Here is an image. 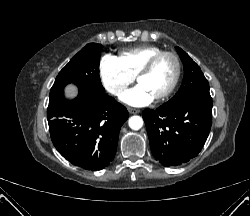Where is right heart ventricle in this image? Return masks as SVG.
I'll list each match as a JSON object with an SVG mask.
<instances>
[{"label": "right heart ventricle", "mask_w": 250, "mask_h": 216, "mask_svg": "<svg viewBox=\"0 0 250 216\" xmlns=\"http://www.w3.org/2000/svg\"><path fill=\"white\" fill-rule=\"evenodd\" d=\"M161 51L162 49L157 46L145 45L123 50L118 59L123 67L135 77L149 59Z\"/></svg>", "instance_id": "right-heart-ventricle-1"}]
</instances>
